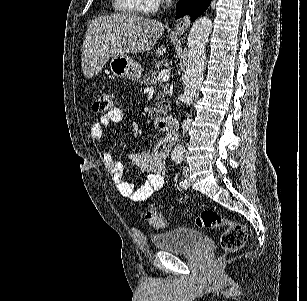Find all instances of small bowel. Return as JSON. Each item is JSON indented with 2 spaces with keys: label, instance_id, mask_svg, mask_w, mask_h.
Masks as SVG:
<instances>
[{
  "label": "small bowel",
  "instance_id": "obj_1",
  "mask_svg": "<svg viewBox=\"0 0 307 301\" xmlns=\"http://www.w3.org/2000/svg\"><path fill=\"white\" fill-rule=\"evenodd\" d=\"M123 119V109L112 107L98 121L92 124L90 129L91 139H101L106 125L120 123ZM169 146V140L163 139L149 152H135L130 155L131 161L140 170L148 172L145 183L138 187L125 179L122 165L108 153L102 152L101 160L122 196L133 201H145L161 190L164 185V159L168 153Z\"/></svg>",
  "mask_w": 307,
  "mask_h": 301
}]
</instances>
